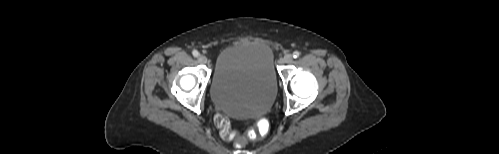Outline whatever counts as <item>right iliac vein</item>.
I'll use <instances>...</instances> for the list:
<instances>
[{
  "mask_svg": "<svg viewBox=\"0 0 499 154\" xmlns=\"http://www.w3.org/2000/svg\"><path fill=\"white\" fill-rule=\"evenodd\" d=\"M198 60H199V62H200V63H202V64H206V63H207V57H206L205 55H200V56L198 57Z\"/></svg>",
  "mask_w": 499,
  "mask_h": 154,
  "instance_id": "1",
  "label": "right iliac vein"
}]
</instances>
